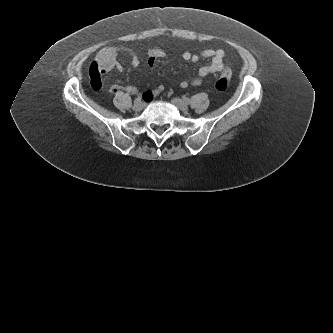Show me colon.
<instances>
[{
	"label": "colon",
	"mask_w": 333,
	"mask_h": 333,
	"mask_svg": "<svg viewBox=\"0 0 333 333\" xmlns=\"http://www.w3.org/2000/svg\"><path fill=\"white\" fill-rule=\"evenodd\" d=\"M231 80V72L229 69H225L222 73V76L216 81L215 83V89L218 92H225L230 84Z\"/></svg>",
	"instance_id": "1"
}]
</instances>
